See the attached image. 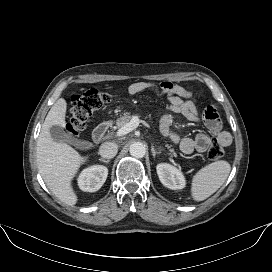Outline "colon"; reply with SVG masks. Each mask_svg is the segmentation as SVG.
<instances>
[{"label":"colon","mask_w":272,"mask_h":272,"mask_svg":"<svg viewBox=\"0 0 272 272\" xmlns=\"http://www.w3.org/2000/svg\"><path fill=\"white\" fill-rule=\"evenodd\" d=\"M111 100L112 96L110 94L98 89H90L82 94L73 95L70 117L66 127L69 136H77L84 129L87 120L92 114L110 103ZM213 111L212 106H207L205 114L211 115ZM223 155L224 149L222 145L216 139L213 140L208 150V158L212 161H217Z\"/></svg>","instance_id":"obj_1"}]
</instances>
